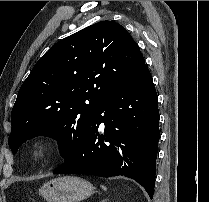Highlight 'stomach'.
Instances as JSON below:
<instances>
[{"instance_id":"0dacf381","label":"stomach","mask_w":209,"mask_h":202,"mask_svg":"<svg viewBox=\"0 0 209 202\" xmlns=\"http://www.w3.org/2000/svg\"><path fill=\"white\" fill-rule=\"evenodd\" d=\"M94 192L90 182L74 176L52 179L42 185L39 194L47 202H80Z\"/></svg>"}]
</instances>
